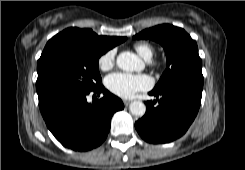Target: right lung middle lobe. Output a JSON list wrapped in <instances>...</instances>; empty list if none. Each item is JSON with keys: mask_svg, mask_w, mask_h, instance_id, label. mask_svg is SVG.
Returning <instances> with one entry per match:
<instances>
[{"mask_svg": "<svg viewBox=\"0 0 245 170\" xmlns=\"http://www.w3.org/2000/svg\"><path fill=\"white\" fill-rule=\"evenodd\" d=\"M102 54L78 43L49 40L37 63L39 103L60 94L97 88L101 83L98 59Z\"/></svg>", "mask_w": 245, "mask_h": 170, "instance_id": "obj_1", "label": "right lung middle lobe"}]
</instances>
